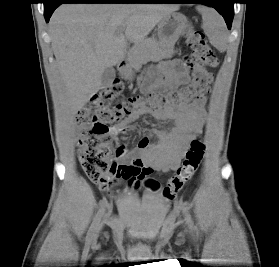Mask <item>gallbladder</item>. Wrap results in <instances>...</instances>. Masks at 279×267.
Instances as JSON below:
<instances>
[{
	"label": "gallbladder",
	"instance_id": "obj_1",
	"mask_svg": "<svg viewBox=\"0 0 279 267\" xmlns=\"http://www.w3.org/2000/svg\"><path fill=\"white\" fill-rule=\"evenodd\" d=\"M115 76H116L115 70L112 67L105 68L101 76L102 88L111 87L115 79Z\"/></svg>",
	"mask_w": 279,
	"mask_h": 267
}]
</instances>
